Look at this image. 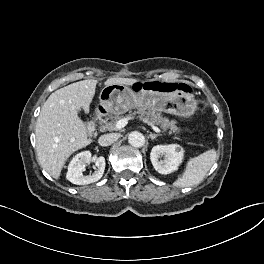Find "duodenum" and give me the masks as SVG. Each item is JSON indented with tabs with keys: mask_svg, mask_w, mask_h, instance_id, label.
Instances as JSON below:
<instances>
[{
	"mask_svg": "<svg viewBox=\"0 0 264 264\" xmlns=\"http://www.w3.org/2000/svg\"><path fill=\"white\" fill-rule=\"evenodd\" d=\"M100 118V114H96L88 124V133L93 135L96 131V122Z\"/></svg>",
	"mask_w": 264,
	"mask_h": 264,
	"instance_id": "1",
	"label": "duodenum"
}]
</instances>
